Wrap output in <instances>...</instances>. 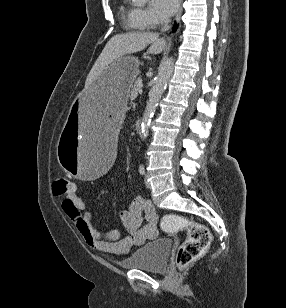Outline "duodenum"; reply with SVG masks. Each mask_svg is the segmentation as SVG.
Segmentation results:
<instances>
[{
	"mask_svg": "<svg viewBox=\"0 0 286 308\" xmlns=\"http://www.w3.org/2000/svg\"><path fill=\"white\" fill-rule=\"evenodd\" d=\"M140 127H141V121H140V120H137V121L135 122V129H136V130H139Z\"/></svg>",
	"mask_w": 286,
	"mask_h": 308,
	"instance_id": "1",
	"label": "duodenum"
}]
</instances>
